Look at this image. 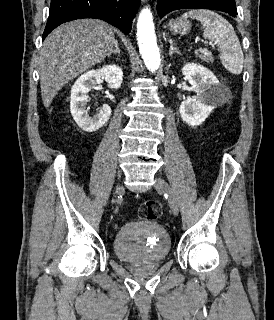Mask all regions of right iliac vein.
Segmentation results:
<instances>
[{
    "instance_id": "63e3f726",
    "label": "right iliac vein",
    "mask_w": 274,
    "mask_h": 320,
    "mask_svg": "<svg viewBox=\"0 0 274 320\" xmlns=\"http://www.w3.org/2000/svg\"><path fill=\"white\" fill-rule=\"evenodd\" d=\"M123 191H124L123 186H122V185H118V186L116 187L115 193H116V194H122ZM114 202H115V200H113V203H114Z\"/></svg>"
}]
</instances>
